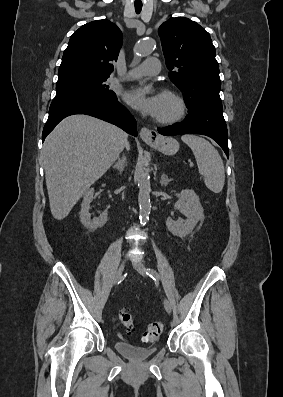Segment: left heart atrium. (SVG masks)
Segmentation results:
<instances>
[{
    "label": "left heart atrium",
    "mask_w": 283,
    "mask_h": 397,
    "mask_svg": "<svg viewBox=\"0 0 283 397\" xmlns=\"http://www.w3.org/2000/svg\"><path fill=\"white\" fill-rule=\"evenodd\" d=\"M124 100L143 114L156 117L159 112V95H146L144 91L138 87L126 91Z\"/></svg>",
    "instance_id": "obj_1"
}]
</instances>
